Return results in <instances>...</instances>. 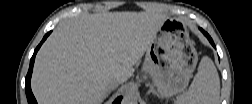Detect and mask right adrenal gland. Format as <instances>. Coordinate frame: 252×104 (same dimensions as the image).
Here are the masks:
<instances>
[{"instance_id":"2a0ac1e0","label":"right adrenal gland","mask_w":252,"mask_h":104,"mask_svg":"<svg viewBox=\"0 0 252 104\" xmlns=\"http://www.w3.org/2000/svg\"><path fill=\"white\" fill-rule=\"evenodd\" d=\"M109 94H110V93H107L106 96H105V98H107V97L109 96Z\"/></svg>"}]
</instances>
